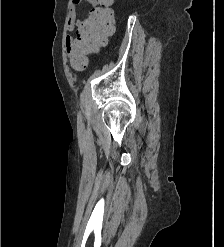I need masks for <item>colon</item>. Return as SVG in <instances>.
<instances>
[{"instance_id":"obj_1","label":"colon","mask_w":224,"mask_h":247,"mask_svg":"<svg viewBox=\"0 0 224 247\" xmlns=\"http://www.w3.org/2000/svg\"><path fill=\"white\" fill-rule=\"evenodd\" d=\"M112 0H100V3L91 10L89 17L84 21L77 39L80 50L88 52L100 46L114 30V14L110 5ZM76 68H82L85 61L77 58Z\"/></svg>"}]
</instances>
